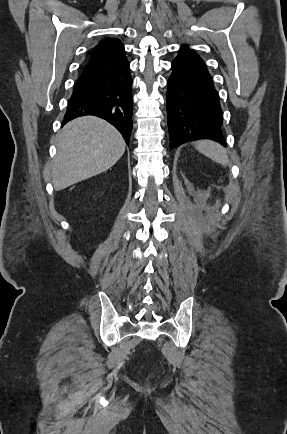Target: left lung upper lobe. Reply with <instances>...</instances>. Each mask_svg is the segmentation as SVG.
<instances>
[{
  "instance_id": "obj_1",
  "label": "left lung upper lobe",
  "mask_w": 287,
  "mask_h": 434,
  "mask_svg": "<svg viewBox=\"0 0 287 434\" xmlns=\"http://www.w3.org/2000/svg\"><path fill=\"white\" fill-rule=\"evenodd\" d=\"M181 53H186V54H194L196 55L191 49H189L187 46H183L181 47L180 50Z\"/></svg>"
}]
</instances>
